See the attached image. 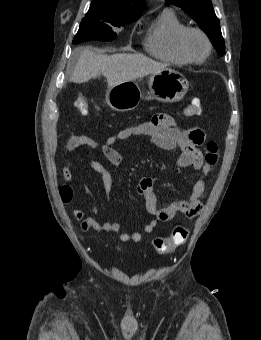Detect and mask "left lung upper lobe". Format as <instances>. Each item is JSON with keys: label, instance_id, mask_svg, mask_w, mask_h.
Listing matches in <instances>:
<instances>
[{"label": "left lung upper lobe", "instance_id": "obj_1", "mask_svg": "<svg viewBox=\"0 0 261 340\" xmlns=\"http://www.w3.org/2000/svg\"><path fill=\"white\" fill-rule=\"evenodd\" d=\"M167 3L181 7L189 14L207 34L220 56L224 55L225 43L220 23L210 0H165Z\"/></svg>", "mask_w": 261, "mask_h": 340}]
</instances>
